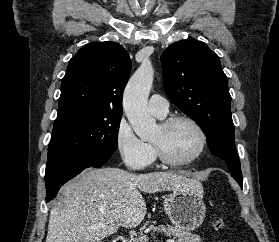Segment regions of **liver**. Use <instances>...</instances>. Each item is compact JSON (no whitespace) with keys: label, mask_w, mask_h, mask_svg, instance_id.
Returning a JSON list of instances; mask_svg holds the SVG:
<instances>
[{"label":"liver","mask_w":279,"mask_h":242,"mask_svg":"<svg viewBox=\"0 0 279 242\" xmlns=\"http://www.w3.org/2000/svg\"><path fill=\"white\" fill-rule=\"evenodd\" d=\"M199 188L198 181L172 171L86 169L62 187V204L50 210L45 242H101L120 227L135 228L142 222L147 209L141 192Z\"/></svg>","instance_id":"liver-1"}]
</instances>
